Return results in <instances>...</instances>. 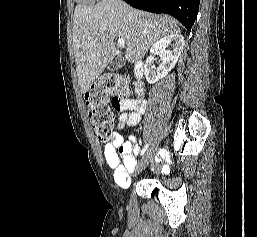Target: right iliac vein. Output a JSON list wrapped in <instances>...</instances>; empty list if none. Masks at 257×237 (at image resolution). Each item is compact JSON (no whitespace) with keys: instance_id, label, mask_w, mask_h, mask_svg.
<instances>
[{"instance_id":"obj_1","label":"right iliac vein","mask_w":257,"mask_h":237,"mask_svg":"<svg viewBox=\"0 0 257 237\" xmlns=\"http://www.w3.org/2000/svg\"><path fill=\"white\" fill-rule=\"evenodd\" d=\"M157 144H153L138 164L137 171H142L152 162V153L156 150Z\"/></svg>"}]
</instances>
